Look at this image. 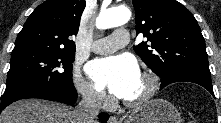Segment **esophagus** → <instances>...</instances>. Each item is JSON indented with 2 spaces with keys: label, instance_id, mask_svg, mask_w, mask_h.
<instances>
[{
  "label": "esophagus",
  "instance_id": "esophagus-1",
  "mask_svg": "<svg viewBox=\"0 0 221 123\" xmlns=\"http://www.w3.org/2000/svg\"><path fill=\"white\" fill-rule=\"evenodd\" d=\"M119 120L115 116H111L109 119V123H118Z\"/></svg>",
  "mask_w": 221,
  "mask_h": 123
}]
</instances>
